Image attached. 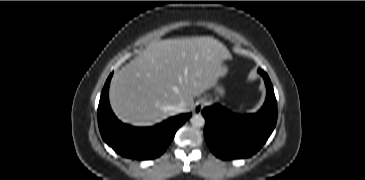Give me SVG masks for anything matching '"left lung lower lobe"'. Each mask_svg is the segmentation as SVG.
I'll return each instance as SVG.
<instances>
[{
    "label": "left lung lower lobe",
    "mask_w": 365,
    "mask_h": 180,
    "mask_svg": "<svg viewBox=\"0 0 365 180\" xmlns=\"http://www.w3.org/2000/svg\"><path fill=\"white\" fill-rule=\"evenodd\" d=\"M267 87L263 107L254 114H233L220 105L202 110L204 137L210 150L221 159L246 158L255 154L267 141L277 121V102L272 83L263 70Z\"/></svg>",
    "instance_id": "0a47b994"
}]
</instances>
